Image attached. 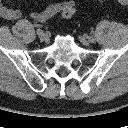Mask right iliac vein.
Instances as JSON below:
<instances>
[{"instance_id": "1", "label": "right iliac vein", "mask_w": 128, "mask_h": 128, "mask_svg": "<svg viewBox=\"0 0 128 128\" xmlns=\"http://www.w3.org/2000/svg\"><path fill=\"white\" fill-rule=\"evenodd\" d=\"M38 37L40 38L41 41H46L48 39V36L46 33H44L41 29H38L36 31Z\"/></svg>"}]
</instances>
